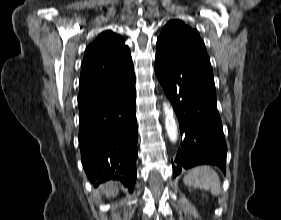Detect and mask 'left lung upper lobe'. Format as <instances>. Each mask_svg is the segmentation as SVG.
Segmentation results:
<instances>
[{
	"label": "left lung upper lobe",
	"mask_w": 281,
	"mask_h": 220,
	"mask_svg": "<svg viewBox=\"0 0 281 220\" xmlns=\"http://www.w3.org/2000/svg\"><path fill=\"white\" fill-rule=\"evenodd\" d=\"M156 57H179L213 75L209 56L198 31L180 20L169 21L161 31L157 40Z\"/></svg>",
	"instance_id": "5c2ea615"
}]
</instances>
